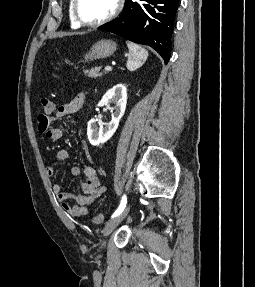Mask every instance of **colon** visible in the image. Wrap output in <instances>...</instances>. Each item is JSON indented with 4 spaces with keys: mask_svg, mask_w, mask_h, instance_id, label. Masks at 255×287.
<instances>
[{
    "mask_svg": "<svg viewBox=\"0 0 255 287\" xmlns=\"http://www.w3.org/2000/svg\"><path fill=\"white\" fill-rule=\"evenodd\" d=\"M41 103H42V107H43L45 114L51 115L56 111V104L53 100L49 98H43L41 100ZM104 220H105V215L100 213V214L95 215L92 221L94 224H101L104 222Z\"/></svg>",
    "mask_w": 255,
    "mask_h": 287,
    "instance_id": "1",
    "label": "colon"
}]
</instances>
